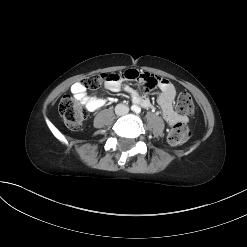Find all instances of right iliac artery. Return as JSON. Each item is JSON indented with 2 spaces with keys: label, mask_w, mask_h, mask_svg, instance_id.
Instances as JSON below:
<instances>
[{
  "label": "right iliac artery",
  "mask_w": 247,
  "mask_h": 247,
  "mask_svg": "<svg viewBox=\"0 0 247 247\" xmlns=\"http://www.w3.org/2000/svg\"><path fill=\"white\" fill-rule=\"evenodd\" d=\"M131 109L134 111V110H136V107L135 106H132Z\"/></svg>",
  "instance_id": "obj_1"
}]
</instances>
